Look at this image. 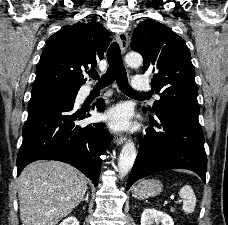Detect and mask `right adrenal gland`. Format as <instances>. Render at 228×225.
<instances>
[{"label":"right adrenal gland","instance_id":"1","mask_svg":"<svg viewBox=\"0 0 228 225\" xmlns=\"http://www.w3.org/2000/svg\"><path fill=\"white\" fill-rule=\"evenodd\" d=\"M88 199H89V191H87L85 199H81V201H86V203H89Z\"/></svg>","mask_w":228,"mask_h":225}]
</instances>
